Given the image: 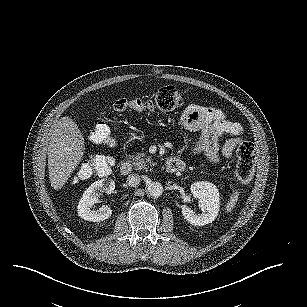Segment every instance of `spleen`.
<instances>
[{
    "label": "spleen",
    "instance_id": "1",
    "mask_svg": "<svg viewBox=\"0 0 307 307\" xmlns=\"http://www.w3.org/2000/svg\"><path fill=\"white\" fill-rule=\"evenodd\" d=\"M239 197V192L234 191L233 194L230 196V200L228 203L225 205V210L227 213H231L233 208L235 207Z\"/></svg>",
    "mask_w": 307,
    "mask_h": 307
}]
</instances>
